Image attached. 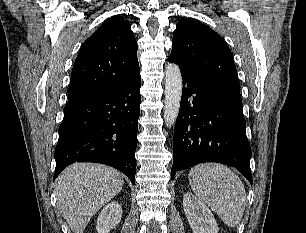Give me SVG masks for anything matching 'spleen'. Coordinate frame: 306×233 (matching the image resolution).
<instances>
[{
    "label": "spleen",
    "mask_w": 306,
    "mask_h": 233,
    "mask_svg": "<svg viewBox=\"0 0 306 233\" xmlns=\"http://www.w3.org/2000/svg\"><path fill=\"white\" fill-rule=\"evenodd\" d=\"M188 178L194 194L224 224L231 228L240 224L247 200L246 191L231 169L217 163L199 164L190 170Z\"/></svg>",
    "instance_id": "spleen-1"
}]
</instances>
